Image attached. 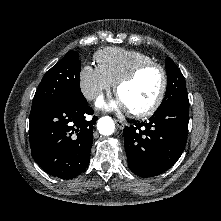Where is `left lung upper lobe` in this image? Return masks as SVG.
<instances>
[{
    "instance_id": "obj_1",
    "label": "left lung upper lobe",
    "mask_w": 221,
    "mask_h": 221,
    "mask_svg": "<svg viewBox=\"0 0 221 221\" xmlns=\"http://www.w3.org/2000/svg\"><path fill=\"white\" fill-rule=\"evenodd\" d=\"M166 70L168 77L167 91L163 102L156 111L162 110L179 99L188 98L184 77L169 57L166 58Z\"/></svg>"
}]
</instances>
